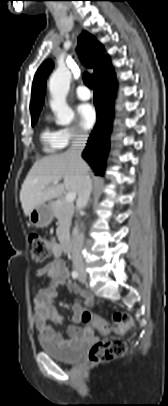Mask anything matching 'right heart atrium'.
Listing matches in <instances>:
<instances>
[{
	"label": "right heart atrium",
	"mask_w": 168,
	"mask_h": 406,
	"mask_svg": "<svg viewBox=\"0 0 168 406\" xmlns=\"http://www.w3.org/2000/svg\"><path fill=\"white\" fill-rule=\"evenodd\" d=\"M60 135L65 145L86 140L88 137L86 131L79 127L62 128Z\"/></svg>",
	"instance_id": "d8ad5b80"
}]
</instances>
